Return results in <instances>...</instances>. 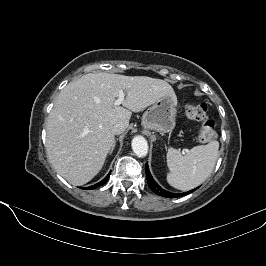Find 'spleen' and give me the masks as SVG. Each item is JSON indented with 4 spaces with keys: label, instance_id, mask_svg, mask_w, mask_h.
Returning <instances> with one entry per match:
<instances>
[{
    "label": "spleen",
    "instance_id": "obj_1",
    "mask_svg": "<svg viewBox=\"0 0 266 266\" xmlns=\"http://www.w3.org/2000/svg\"><path fill=\"white\" fill-rule=\"evenodd\" d=\"M219 142L195 146L186 154L168 148L166 160L169 168L167 182L174 188L187 191L199 186L212 173L219 155Z\"/></svg>",
    "mask_w": 266,
    "mask_h": 266
}]
</instances>
